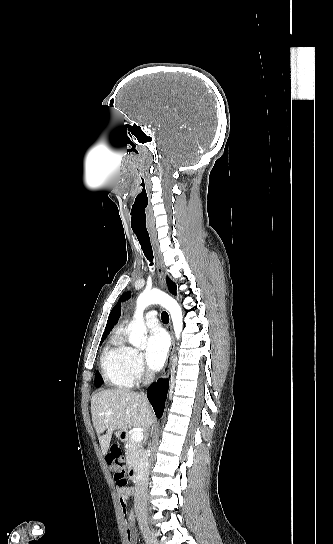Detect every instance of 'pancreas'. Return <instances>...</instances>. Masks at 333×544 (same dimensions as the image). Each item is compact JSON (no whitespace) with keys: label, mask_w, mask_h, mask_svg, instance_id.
I'll list each match as a JSON object with an SVG mask.
<instances>
[{"label":"pancreas","mask_w":333,"mask_h":544,"mask_svg":"<svg viewBox=\"0 0 333 544\" xmlns=\"http://www.w3.org/2000/svg\"><path fill=\"white\" fill-rule=\"evenodd\" d=\"M126 461L128 465H136L139 462L142 445L134 441L131 436L126 438Z\"/></svg>","instance_id":"1"}]
</instances>
